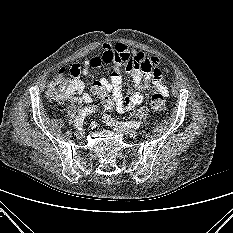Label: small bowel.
Returning a JSON list of instances; mask_svg holds the SVG:
<instances>
[{
  "label": "small bowel",
  "mask_w": 233,
  "mask_h": 233,
  "mask_svg": "<svg viewBox=\"0 0 233 233\" xmlns=\"http://www.w3.org/2000/svg\"><path fill=\"white\" fill-rule=\"evenodd\" d=\"M101 55H93L85 59L82 64H73L70 68L72 79L68 84V94L65 98L71 99L80 104L91 103L90 93H83L85 85L80 78V74L87 75L92 68L102 64H111L114 72L108 80L104 77L99 82L113 95L115 106L118 112L125 113L141 104L149 97L143 91L153 85L157 91L166 95L167 87L163 82L165 70L160 67L157 57H147L144 53L129 49L125 44L104 43ZM125 68L132 76L135 88L124 94L122 77L119 73L121 68ZM64 69L60 70V73ZM78 95L81 97L77 98Z\"/></svg>",
  "instance_id": "c3829d8e"
}]
</instances>
